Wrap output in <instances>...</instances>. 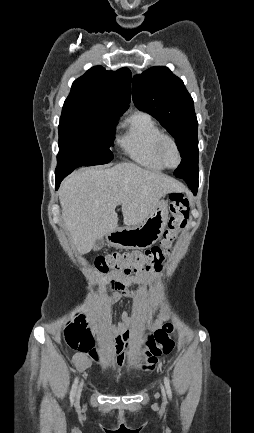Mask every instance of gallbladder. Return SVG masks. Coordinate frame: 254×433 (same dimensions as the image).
Listing matches in <instances>:
<instances>
[{
    "label": "gallbladder",
    "instance_id": "gallbladder-1",
    "mask_svg": "<svg viewBox=\"0 0 254 433\" xmlns=\"http://www.w3.org/2000/svg\"><path fill=\"white\" fill-rule=\"evenodd\" d=\"M104 246V240L98 239L94 244V250H100Z\"/></svg>",
    "mask_w": 254,
    "mask_h": 433
}]
</instances>
